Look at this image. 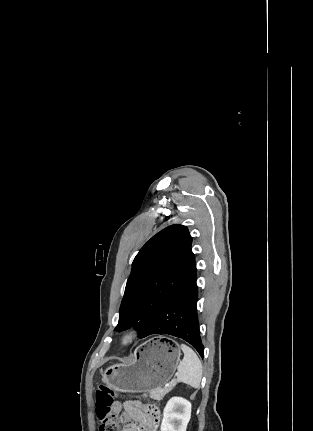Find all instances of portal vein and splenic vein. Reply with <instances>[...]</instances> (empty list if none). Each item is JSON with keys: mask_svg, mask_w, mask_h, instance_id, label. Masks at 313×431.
<instances>
[{"mask_svg": "<svg viewBox=\"0 0 313 431\" xmlns=\"http://www.w3.org/2000/svg\"><path fill=\"white\" fill-rule=\"evenodd\" d=\"M173 382H175V380H173ZM171 383H168L167 386H169Z\"/></svg>", "mask_w": 313, "mask_h": 431, "instance_id": "portal-vein-and-splenic-vein-1", "label": "portal vein and splenic vein"}]
</instances>
